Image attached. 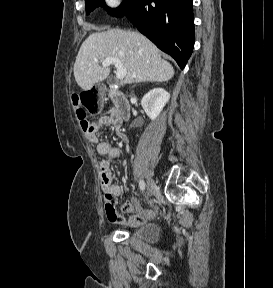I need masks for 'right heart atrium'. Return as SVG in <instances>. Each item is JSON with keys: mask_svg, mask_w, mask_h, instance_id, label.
Returning <instances> with one entry per match:
<instances>
[{"mask_svg": "<svg viewBox=\"0 0 273 288\" xmlns=\"http://www.w3.org/2000/svg\"><path fill=\"white\" fill-rule=\"evenodd\" d=\"M105 3L109 8H117L120 5L121 0H105Z\"/></svg>", "mask_w": 273, "mask_h": 288, "instance_id": "obj_1", "label": "right heart atrium"}]
</instances>
